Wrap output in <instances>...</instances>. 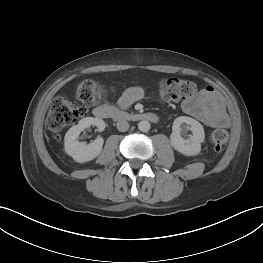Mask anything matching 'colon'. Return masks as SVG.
<instances>
[{"label": "colon", "mask_w": 263, "mask_h": 263, "mask_svg": "<svg viewBox=\"0 0 263 263\" xmlns=\"http://www.w3.org/2000/svg\"><path fill=\"white\" fill-rule=\"evenodd\" d=\"M196 91L195 83L186 79L167 78L159 83V93L162 99L168 102L188 100ZM75 95L83 105L62 96L53 100L47 116V125L55 135L82 117L88 106L98 104L105 95V89L93 80H85L78 84ZM227 141L228 133L224 129H216L210 134V142L216 150H221Z\"/></svg>", "instance_id": "colon-1"}]
</instances>
